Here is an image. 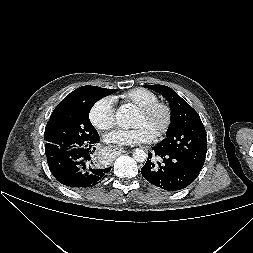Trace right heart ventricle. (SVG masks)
I'll return each mask as SVG.
<instances>
[{
    "instance_id": "1",
    "label": "right heart ventricle",
    "mask_w": 253,
    "mask_h": 253,
    "mask_svg": "<svg viewBox=\"0 0 253 253\" xmlns=\"http://www.w3.org/2000/svg\"><path fill=\"white\" fill-rule=\"evenodd\" d=\"M122 99L126 103L141 107L158 101V96L148 89L138 87L125 92Z\"/></svg>"
}]
</instances>
